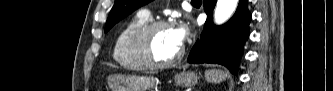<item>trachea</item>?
Segmentation results:
<instances>
[{"label":"trachea","instance_id":"obj_1","mask_svg":"<svg viewBox=\"0 0 333 91\" xmlns=\"http://www.w3.org/2000/svg\"><path fill=\"white\" fill-rule=\"evenodd\" d=\"M192 2H202V0H193Z\"/></svg>","mask_w":333,"mask_h":91}]
</instances>
